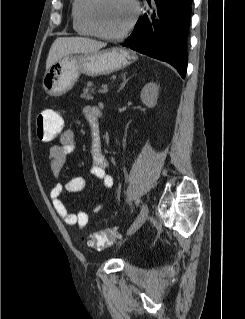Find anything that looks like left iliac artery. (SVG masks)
Masks as SVG:
<instances>
[{
	"instance_id": "44dca946",
	"label": "left iliac artery",
	"mask_w": 245,
	"mask_h": 319,
	"mask_svg": "<svg viewBox=\"0 0 245 319\" xmlns=\"http://www.w3.org/2000/svg\"><path fill=\"white\" fill-rule=\"evenodd\" d=\"M128 197H129V199H137V197L134 193V190L131 187L128 189Z\"/></svg>"
}]
</instances>
